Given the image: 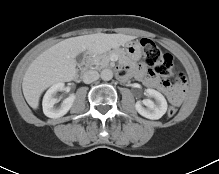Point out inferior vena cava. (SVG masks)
I'll return each mask as SVG.
<instances>
[{
	"label": "inferior vena cava",
	"instance_id": "602c4592",
	"mask_svg": "<svg viewBox=\"0 0 219 174\" xmlns=\"http://www.w3.org/2000/svg\"><path fill=\"white\" fill-rule=\"evenodd\" d=\"M82 79L86 84L92 83L99 79V73L95 70H88L84 72Z\"/></svg>",
	"mask_w": 219,
	"mask_h": 174
}]
</instances>
